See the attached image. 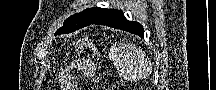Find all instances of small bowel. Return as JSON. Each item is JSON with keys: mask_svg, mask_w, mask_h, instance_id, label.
Masks as SVG:
<instances>
[{"mask_svg": "<svg viewBox=\"0 0 216 90\" xmlns=\"http://www.w3.org/2000/svg\"><path fill=\"white\" fill-rule=\"evenodd\" d=\"M81 70L87 76H93L95 72V68L91 64H83ZM59 82L62 90H78L77 81L68 69L60 73Z\"/></svg>", "mask_w": 216, "mask_h": 90, "instance_id": "1", "label": "small bowel"}]
</instances>
